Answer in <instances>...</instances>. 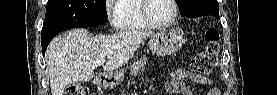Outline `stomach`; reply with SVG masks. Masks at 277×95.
I'll return each mask as SVG.
<instances>
[{
  "mask_svg": "<svg viewBox=\"0 0 277 95\" xmlns=\"http://www.w3.org/2000/svg\"><path fill=\"white\" fill-rule=\"evenodd\" d=\"M150 50L161 56L170 55L180 49L183 44L182 36L174 31H163L151 36L149 42ZM124 79L123 71H114L107 73L102 80L105 87L113 88L119 85Z\"/></svg>",
  "mask_w": 277,
  "mask_h": 95,
  "instance_id": "1",
  "label": "stomach"
}]
</instances>
